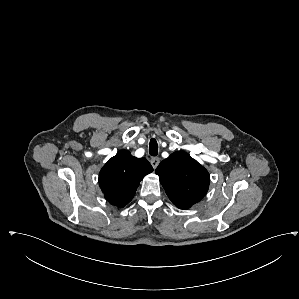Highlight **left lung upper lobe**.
<instances>
[{
	"label": "left lung upper lobe",
	"mask_w": 299,
	"mask_h": 299,
	"mask_svg": "<svg viewBox=\"0 0 299 299\" xmlns=\"http://www.w3.org/2000/svg\"><path fill=\"white\" fill-rule=\"evenodd\" d=\"M155 172L169 199L180 209L190 208L208 191V171L185 152H174L159 164Z\"/></svg>",
	"instance_id": "1"
}]
</instances>
